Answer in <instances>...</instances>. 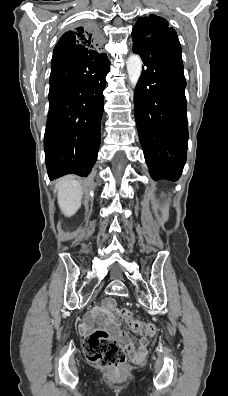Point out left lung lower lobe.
<instances>
[{
	"mask_svg": "<svg viewBox=\"0 0 228 396\" xmlns=\"http://www.w3.org/2000/svg\"><path fill=\"white\" fill-rule=\"evenodd\" d=\"M143 60L134 110L144 157L154 180L176 181L188 147L186 81L181 52L149 39L134 40Z\"/></svg>",
	"mask_w": 228,
	"mask_h": 396,
	"instance_id": "1",
	"label": "left lung lower lobe"
}]
</instances>
